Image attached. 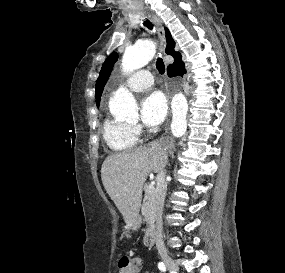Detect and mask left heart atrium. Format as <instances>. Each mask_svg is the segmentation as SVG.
<instances>
[{"label": "left heart atrium", "instance_id": "obj_1", "mask_svg": "<svg viewBox=\"0 0 285 273\" xmlns=\"http://www.w3.org/2000/svg\"><path fill=\"white\" fill-rule=\"evenodd\" d=\"M141 119L147 126H157L167 114V101L160 91L149 93L141 102Z\"/></svg>", "mask_w": 285, "mask_h": 273}]
</instances>
